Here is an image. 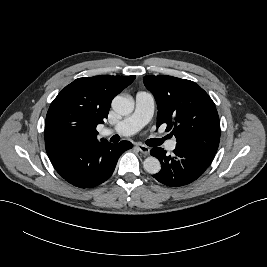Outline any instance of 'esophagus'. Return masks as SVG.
I'll use <instances>...</instances> for the list:
<instances>
[{
    "instance_id": "1",
    "label": "esophagus",
    "mask_w": 267,
    "mask_h": 267,
    "mask_svg": "<svg viewBox=\"0 0 267 267\" xmlns=\"http://www.w3.org/2000/svg\"><path fill=\"white\" fill-rule=\"evenodd\" d=\"M137 147L142 154H144V155L149 154L150 149L147 146H145L143 144H138Z\"/></svg>"
}]
</instances>
